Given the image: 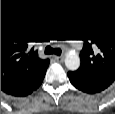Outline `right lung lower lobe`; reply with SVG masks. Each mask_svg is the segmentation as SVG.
Segmentation results:
<instances>
[{"instance_id":"right-lung-lower-lobe-1","label":"right lung lower lobe","mask_w":115,"mask_h":114,"mask_svg":"<svg viewBox=\"0 0 115 114\" xmlns=\"http://www.w3.org/2000/svg\"><path fill=\"white\" fill-rule=\"evenodd\" d=\"M44 78V77H43ZM43 78L41 79V81L38 83V85H37V87L34 89V90H36L39 86H40V84L42 83V81H43ZM34 90H32L31 92H33ZM30 92V93H31ZM30 93H28V94H30ZM28 94H25V95H16V96H26V95H28Z\"/></svg>"}]
</instances>
